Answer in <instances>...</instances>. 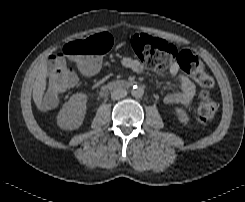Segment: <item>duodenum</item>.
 I'll list each match as a JSON object with an SVG mask.
<instances>
[{
	"instance_id": "obj_1",
	"label": "duodenum",
	"mask_w": 245,
	"mask_h": 202,
	"mask_svg": "<svg viewBox=\"0 0 245 202\" xmlns=\"http://www.w3.org/2000/svg\"><path fill=\"white\" fill-rule=\"evenodd\" d=\"M135 84L136 82L134 81H120V82L110 83L108 85V88L111 90H127L133 87Z\"/></svg>"
}]
</instances>
